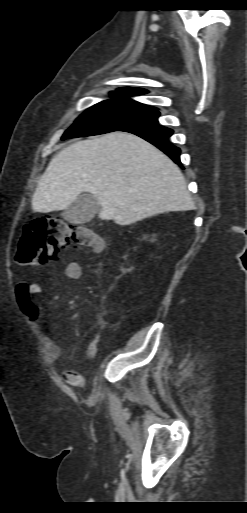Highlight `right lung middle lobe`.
<instances>
[{
	"instance_id": "right-lung-middle-lobe-1",
	"label": "right lung middle lobe",
	"mask_w": 247,
	"mask_h": 513,
	"mask_svg": "<svg viewBox=\"0 0 247 513\" xmlns=\"http://www.w3.org/2000/svg\"><path fill=\"white\" fill-rule=\"evenodd\" d=\"M125 94L132 95L128 92H111V95L120 97L102 101L87 109L65 131L61 140L120 131L126 126L159 116V111L154 107L125 97Z\"/></svg>"
}]
</instances>
